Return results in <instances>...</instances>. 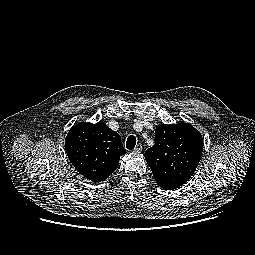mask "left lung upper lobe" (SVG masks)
Listing matches in <instances>:
<instances>
[{
  "label": "left lung upper lobe",
  "instance_id": "obj_1",
  "mask_svg": "<svg viewBox=\"0 0 255 255\" xmlns=\"http://www.w3.org/2000/svg\"><path fill=\"white\" fill-rule=\"evenodd\" d=\"M156 143L145 152L157 184L174 190L185 184L195 172L203 151V138L192 125H159Z\"/></svg>",
  "mask_w": 255,
  "mask_h": 255
}]
</instances>
